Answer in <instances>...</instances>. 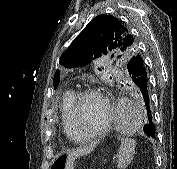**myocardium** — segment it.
<instances>
[{
    "label": "myocardium",
    "instance_id": "myocardium-1",
    "mask_svg": "<svg viewBox=\"0 0 177 169\" xmlns=\"http://www.w3.org/2000/svg\"><path fill=\"white\" fill-rule=\"evenodd\" d=\"M89 96L97 97L103 103L106 110V118L102 127L99 128L97 131L87 135H79L78 134V109L82 100ZM70 118H71L73 130L75 132V139L77 141H82L86 139H92L106 133L111 126L112 119H113V112H112V107L110 105V102L107 96L103 92L93 87H85L83 89H80L75 95V99L70 110Z\"/></svg>",
    "mask_w": 177,
    "mask_h": 169
}]
</instances>
